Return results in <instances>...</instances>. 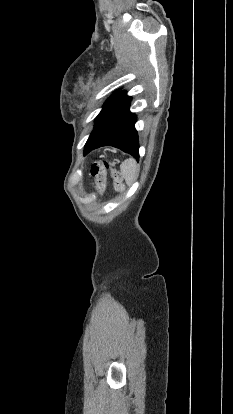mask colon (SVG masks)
I'll return each mask as SVG.
<instances>
[{
	"instance_id": "obj_1",
	"label": "colon",
	"mask_w": 233,
	"mask_h": 414,
	"mask_svg": "<svg viewBox=\"0 0 233 414\" xmlns=\"http://www.w3.org/2000/svg\"><path fill=\"white\" fill-rule=\"evenodd\" d=\"M110 168V164L105 160L96 161L91 167V175L98 181L101 180L105 172ZM117 188L122 187V177L120 173L114 169L111 170Z\"/></svg>"
}]
</instances>
